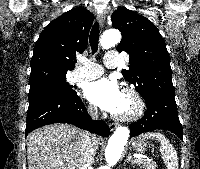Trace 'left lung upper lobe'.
<instances>
[{
    "label": "left lung upper lobe",
    "mask_w": 200,
    "mask_h": 169,
    "mask_svg": "<svg viewBox=\"0 0 200 169\" xmlns=\"http://www.w3.org/2000/svg\"><path fill=\"white\" fill-rule=\"evenodd\" d=\"M112 26L122 33L117 51L130 58L124 78L145 99L150 94L174 96L170 57L158 29L147 18L128 9L113 12Z\"/></svg>",
    "instance_id": "1"
}]
</instances>
